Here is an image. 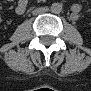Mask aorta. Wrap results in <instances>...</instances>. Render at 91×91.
<instances>
[{
    "mask_svg": "<svg viewBox=\"0 0 91 91\" xmlns=\"http://www.w3.org/2000/svg\"><path fill=\"white\" fill-rule=\"evenodd\" d=\"M51 11L55 14H58L62 11V4L60 3H53L51 5Z\"/></svg>",
    "mask_w": 91,
    "mask_h": 91,
    "instance_id": "1",
    "label": "aorta"
}]
</instances>
